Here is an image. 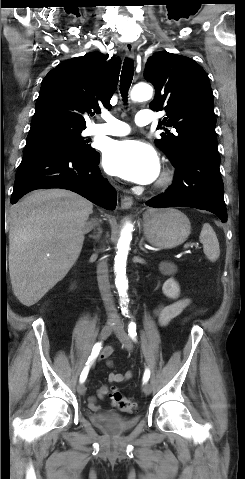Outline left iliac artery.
I'll return each mask as SVG.
<instances>
[{
  "label": "left iliac artery",
  "mask_w": 245,
  "mask_h": 479,
  "mask_svg": "<svg viewBox=\"0 0 245 479\" xmlns=\"http://www.w3.org/2000/svg\"><path fill=\"white\" fill-rule=\"evenodd\" d=\"M128 333H129V336L132 338V340L136 341V335H137L136 324L132 321L128 325ZM149 378H150V371L149 369H146L143 376V383L147 382Z\"/></svg>",
  "instance_id": "44dca946"
}]
</instances>
